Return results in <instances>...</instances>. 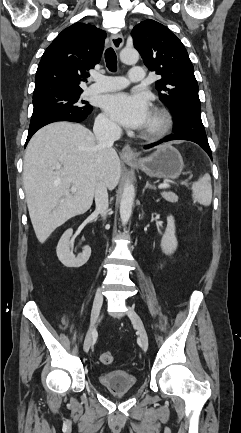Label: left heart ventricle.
<instances>
[{"label":"left heart ventricle","mask_w":241,"mask_h":433,"mask_svg":"<svg viewBox=\"0 0 241 433\" xmlns=\"http://www.w3.org/2000/svg\"><path fill=\"white\" fill-rule=\"evenodd\" d=\"M152 123V116H151V118H150V121H149V123H148V125H150ZM147 125V126H148Z\"/></svg>","instance_id":"b2bd125f"}]
</instances>
